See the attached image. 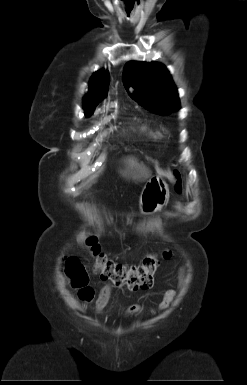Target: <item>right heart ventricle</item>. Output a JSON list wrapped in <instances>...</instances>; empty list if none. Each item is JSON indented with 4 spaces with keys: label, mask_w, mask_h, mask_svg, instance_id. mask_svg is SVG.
Instances as JSON below:
<instances>
[{
    "label": "right heart ventricle",
    "mask_w": 247,
    "mask_h": 385,
    "mask_svg": "<svg viewBox=\"0 0 247 385\" xmlns=\"http://www.w3.org/2000/svg\"><path fill=\"white\" fill-rule=\"evenodd\" d=\"M146 130V129H145ZM151 135H156L154 132L147 130Z\"/></svg>",
    "instance_id": "obj_1"
}]
</instances>
